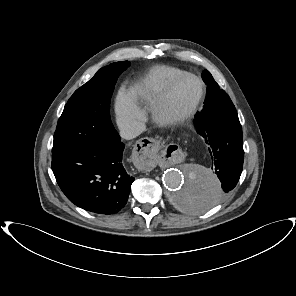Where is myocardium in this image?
<instances>
[{
	"label": "myocardium",
	"mask_w": 296,
	"mask_h": 296,
	"mask_svg": "<svg viewBox=\"0 0 296 296\" xmlns=\"http://www.w3.org/2000/svg\"><path fill=\"white\" fill-rule=\"evenodd\" d=\"M192 78L199 85V94L195 102L185 111L181 113H173L170 110V97L175 87L184 79ZM205 84L197 75L192 73H184L174 78L162 91L157 100L152 105V115L154 120L166 127L179 126L189 121L200 108L205 98Z\"/></svg>",
	"instance_id": "f54148a6"
}]
</instances>
